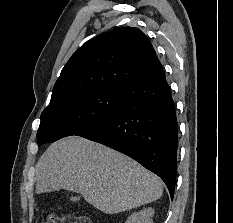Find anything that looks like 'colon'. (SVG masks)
<instances>
[{"mask_svg":"<svg viewBox=\"0 0 233 223\" xmlns=\"http://www.w3.org/2000/svg\"><path fill=\"white\" fill-rule=\"evenodd\" d=\"M47 223H91V221L83 216L60 217L55 214H50Z\"/></svg>","mask_w":233,"mask_h":223,"instance_id":"5ec220e1","label":"colon"}]
</instances>
